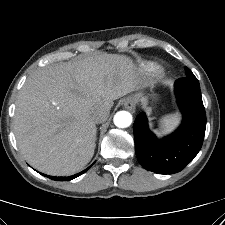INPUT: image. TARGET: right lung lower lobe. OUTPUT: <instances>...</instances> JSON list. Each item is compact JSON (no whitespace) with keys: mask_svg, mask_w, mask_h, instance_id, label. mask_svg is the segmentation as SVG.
Segmentation results:
<instances>
[{"mask_svg":"<svg viewBox=\"0 0 225 225\" xmlns=\"http://www.w3.org/2000/svg\"><path fill=\"white\" fill-rule=\"evenodd\" d=\"M91 167V166H90ZM90 167H88L87 169L83 170L82 172L78 173V174H75L73 176H69V177H53V176H47L45 174H42L44 176H47L48 178L52 179V180H56V181H64V180H72L78 176H80L81 174H83L84 172H86Z\"/></svg>","mask_w":225,"mask_h":225,"instance_id":"98d812e1","label":"right lung lower lobe"}]
</instances>
